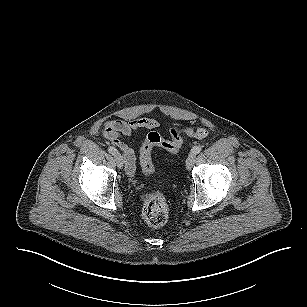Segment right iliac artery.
I'll use <instances>...</instances> for the list:
<instances>
[{
	"label": "right iliac artery",
	"instance_id": "82829eb1",
	"mask_svg": "<svg viewBox=\"0 0 307 307\" xmlns=\"http://www.w3.org/2000/svg\"><path fill=\"white\" fill-rule=\"evenodd\" d=\"M108 151H109L111 154H113V155H115L116 153H118L117 149L114 148V147H112V146H110V147L108 148Z\"/></svg>",
	"mask_w": 307,
	"mask_h": 307
}]
</instances>
